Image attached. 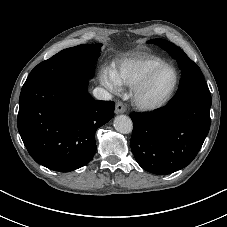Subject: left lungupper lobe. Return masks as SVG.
<instances>
[{"label":"left lung upper lobe","mask_w":227,"mask_h":227,"mask_svg":"<svg viewBox=\"0 0 227 227\" xmlns=\"http://www.w3.org/2000/svg\"><path fill=\"white\" fill-rule=\"evenodd\" d=\"M149 43H154L166 50L177 60L182 72L179 89L169 104L199 103L211 105L212 99L210 91L200 68L183 52V50L164 39H153L150 40Z\"/></svg>","instance_id":"1"}]
</instances>
